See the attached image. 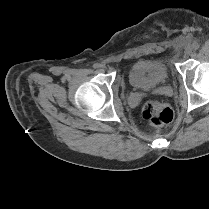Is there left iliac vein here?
Returning <instances> with one entry per match:
<instances>
[{"instance_id": "obj_1", "label": "left iliac vein", "mask_w": 209, "mask_h": 209, "mask_svg": "<svg viewBox=\"0 0 209 209\" xmlns=\"http://www.w3.org/2000/svg\"><path fill=\"white\" fill-rule=\"evenodd\" d=\"M191 49L190 48H188V49H186V51H185V54L188 56V55H190L191 54Z\"/></svg>"}]
</instances>
